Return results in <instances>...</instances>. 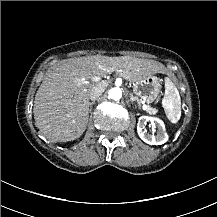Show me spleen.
<instances>
[{"label": "spleen", "mask_w": 217, "mask_h": 217, "mask_svg": "<svg viewBox=\"0 0 217 217\" xmlns=\"http://www.w3.org/2000/svg\"><path fill=\"white\" fill-rule=\"evenodd\" d=\"M166 99H165V112L171 120H176L179 117V100L177 88L174 85L166 83Z\"/></svg>", "instance_id": "spleen-1"}]
</instances>
